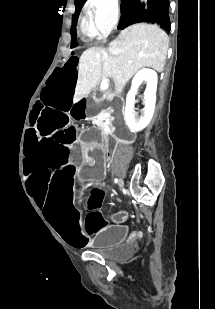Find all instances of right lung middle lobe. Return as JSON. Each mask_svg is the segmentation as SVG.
I'll return each mask as SVG.
<instances>
[{
  "label": "right lung middle lobe",
  "instance_id": "dd1d6c3e",
  "mask_svg": "<svg viewBox=\"0 0 215 309\" xmlns=\"http://www.w3.org/2000/svg\"><path fill=\"white\" fill-rule=\"evenodd\" d=\"M86 0H78L75 5H76V11L74 14V18H73V26L71 27V47H76L77 46V42H76V34H75V26L77 23V19L80 13V10L84 4ZM132 2V0H124L121 2V11L123 9H125L130 3Z\"/></svg>",
  "mask_w": 215,
  "mask_h": 309
}]
</instances>
